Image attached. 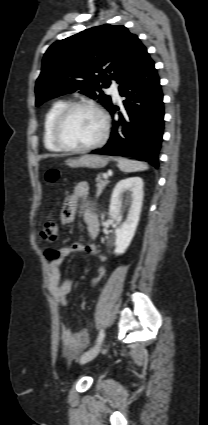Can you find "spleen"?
<instances>
[{
    "mask_svg": "<svg viewBox=\"0 0 208 425\" xmlns=\"http://www.w3.org/2000/svg\"><path fill=\"white\" fill-rule=\"evenodd\" d=\"M118 162V167L123 172H137V171H145L149 167L146 163L141 161L129 160L126 158L118 157L116 158Z\"/></svg>",
    "mask_w": 208,
    "mask_h": 425,
    "instance_id": "3e777b00",
    "label": "spleen"
}]
</instances>
